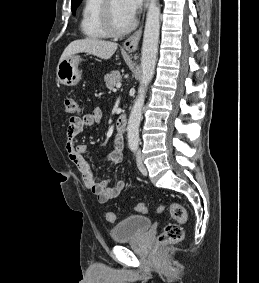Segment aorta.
I'll return each mask as SVG.
<instances>
[{
	"label": "aorta",
	"instance_id": "762f6f07",
	"mask_svg": "<svg viewBox=\"0 0 259 283\" xmlns=\"http://www.w3.org/2000/svg\"><path fill=\"white\" fill-rule=\"evenodd\" d=\"M160 33V6L157 0H150L142 43L141 69L142 77L138 96L134 102L128 120L127 136L129 146H137L139 142V126L142 117V108L145 101L146 88L151 82L158 53Z\"/></svg>",
	"mask_w": 259,
	"mask_h": 283
}]
</instances>
